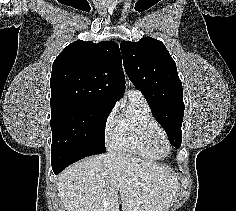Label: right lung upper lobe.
<instances>
[{
    "mask_svg": "<svg viewBox=\"0 0 236 211\" xmlns=\"http://www.w3.org/2000/svg\"><path fill=\"white\" fill-rule=\"evenodd\" d=\"M51 108L74 102L115 105L125 90L119 47L112 41H75L52 66Z\"/></svg>",
    "mask_w": 236,
    "mask_h": 211,
    "instance_id": "right-lung-upper-lobe-1",
    "label": "right lung upper lobe"
}]
</instances>
